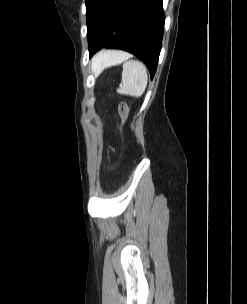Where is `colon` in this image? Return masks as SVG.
<instances>
[{
	"mask_svg": "<svg viewBox=\"0 0 247 304\" xmlns=\"http://www.w3.org/2000/svg\"><path fill=\"white\" fill-rule=\"evenodd\" d=\"M119 110L121 112L122 115H126L127 111H128V107L126 104H120L119 106Z\"/></svg>",
	"mask_w": 247,
	"mask_h": 304,
	"instance_id": "obj_1",
	"label": "colon"
}]
</instances>
